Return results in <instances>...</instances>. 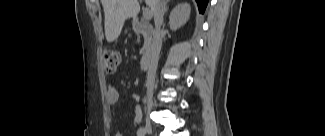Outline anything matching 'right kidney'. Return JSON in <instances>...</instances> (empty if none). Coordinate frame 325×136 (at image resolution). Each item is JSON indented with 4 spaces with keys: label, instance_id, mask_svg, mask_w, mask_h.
<instances>
[{
    "label": "right kidney",
    "instance_id": "right-kidney-1",
    "mask_svg": "<svg viewBox=\"0 0 325 136\" xmlns=\"http://www.w3.org/2000/svg\"><path fill=\"white\" fill-rule=\"evenodd\" d=\"M190 5L188 3H181L177 5L169 16L170 29L176 31L178 28L183 26L190 15Z\"/></svg>",
    "mask_w": 325,
    "mask_h": 136
}]
</instances>
